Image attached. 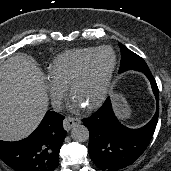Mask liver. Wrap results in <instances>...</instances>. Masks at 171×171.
Segmentation results:
<instances>
[{
	"label": "liver",
	"instance_id": "obj_1",
	"mask_svg": "<svg viewBox=\"0 0 171 171\" xmlns=\"http://www.w3.org/2000/svg\"><path fill=\"white\" fill-rule=\"evenodd\" d=\"M45 76L37 63L22 55L0 65V140L29 136L48 109Z\"/></svg>",
	"mask_w": 171,
	"mask_h": 171
}]
</instances>
